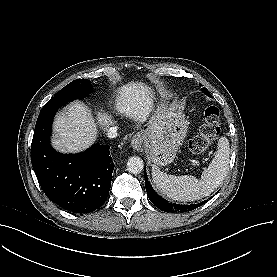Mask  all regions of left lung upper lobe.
<instances>
[{"instance_id":"left-lung-upper-lobe-1","label":"left lung upper lobe","mask_w":277,"mask_h":277,"mask_svg":"<svg viewBox=\"0 0 277 277\" xmlns=\"http://www.w3.org/2000/svg\"><path fill=\"white\" fill-rule=\"evenodd\" d=\"M201 90H202V92H204L207 96L212 97L211 94L209 93V91H208L206 88H202Z\"/></svg>"}]
</instances>
